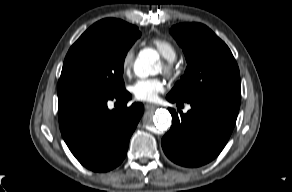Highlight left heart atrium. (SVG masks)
Here are the masks:
<instances>
[{
	"label": "left heart atrium",
	"mask_w": 292,
	"mask_h": 192,
	"mask_svg": "<svg viewBox=\"0 0 292 192\" xmlns=\"http://www.w3.org/2000/svg\"><path fill=\"white\" fill-rule=\"evenodd\" d=\"M131 92L141 101H154L164 90L163 82L158 78H143L131 85Z\"/></svg>",
	"instance_id": "1"
}]
</instances>
